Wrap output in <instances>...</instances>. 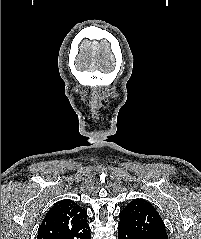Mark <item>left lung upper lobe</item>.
Returning a JSON list of instances; mask_svg holds the SVG:
<instances>
[{"label": "left lung upper lobe", "mask_w": 201, "mask_h": 239, "mask_svg": "<svg viewBox=\"0 0 201 239\" xmlns=\"http://www.w3.org/2000/svg\"><path fill=\"white\" fill-rule=\"evenodd\" d=\"M120 225L137 233L142 239H168L165 225L154 207L146 200H133L119 214Z\"/></svg>", "instance_id": "5c2ea615"}]
</instances>
